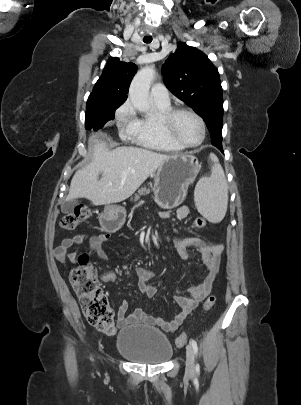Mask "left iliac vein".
I'll list each match as a JSON object with an SVG mask.
<instances>
[{
	"instance_id": "1",
	"label": "left iliac vein",
	"mask_w": 301,
	"mask_h": 405,
	"mask_svg": "<svg viewBox=\"0 0 301 405\" xmlns=\"http://www.w3.org/2000/svg\"><path fill=\"white\" fill-rule=\"evenodd\" d=\"M194 367H195V361H194V350L193 347L188 344L186 346V375L187 376H192L194 374Z\"/></svg>"
}]
</instances>
